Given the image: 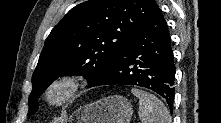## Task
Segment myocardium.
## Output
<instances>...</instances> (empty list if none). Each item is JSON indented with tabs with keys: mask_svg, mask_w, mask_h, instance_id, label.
<instances>
[{
	"mask_svg": "<svg viewBox=\"0 0 221 123\" xmlns=\"http://www.w3.org/2000/svg\"><path fill=\"white\" fill-rule=\"evenodd\" d=\"M83 88L82 78L65 74L53 79L45 88L43 99L52 108H59L74 101Z\"/></svg>",
	"mask_w": 221,
	"mask_h": 123,
	"instance_id": "f54148a6",
	"label": "myocardium"
}]
</instances>
